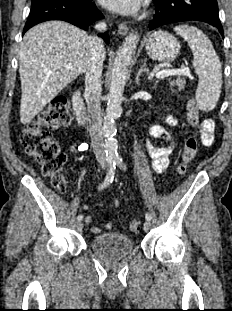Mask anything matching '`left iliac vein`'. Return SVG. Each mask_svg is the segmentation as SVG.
Listing matches in <instances>:
<instances>
[{"mask_svg": "<svg viewBox=\"0 0 232 311\" xmlns=\"http://www.w3.org/2000/svg\"><path fill=\"white\" fill-rule=\"evenodd\" d=\"M143 228L145 231H149L151 229L150 221H145Z\"/></svg>", "mask_w": 232, "mask_h": 311, "instance_id": "1", "label": "left iliac vein"}]
</instances>
